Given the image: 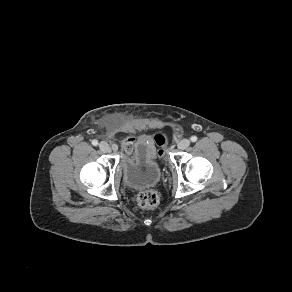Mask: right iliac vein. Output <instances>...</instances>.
<instances>
[{
  "mask_svg": "<svg viewBox=\"0 0 292 292\" xmlns=\"http://www.w3.org/2000/svg\"><path fill=\"white\" fill-rule=\"evenodd\" d=\"M99 148H100L101 151H103L105 153H108V152L111 151V148H110L109 144L107 142H105V141L100 142Z\"/></svg>",
  "mask_w": 292,
  "mask_h": 292,
  "instance_id": "obj_1",
  "label": "right iliac vein"
}]
</instances>
